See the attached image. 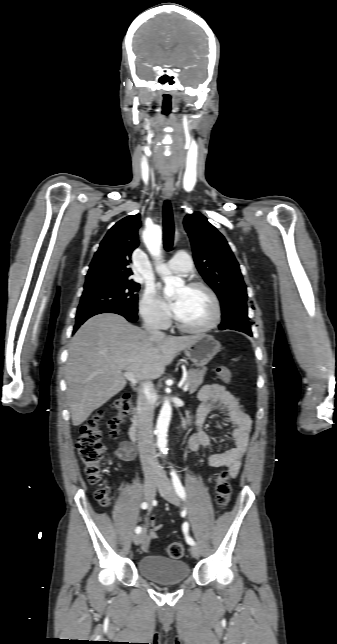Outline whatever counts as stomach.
Returning a JSON list of instances; mask_svg holds the SVG:
<instances>
[{"label":"stomach","mask_w":337,"mask_h":644,"mask_svg":"<svg viewBox=\"0 0 337 644\" xmlns=\"http://www.w3.org/2000/svg\"><path fill=\"white\" fill-rule=\"evenodd\" d=\"M221 344L211 335H198L196 342L185 348L187 358L196 366H205L220 352Z\"/></svg>","instance_id":"stomach-1"}]
</instances>
